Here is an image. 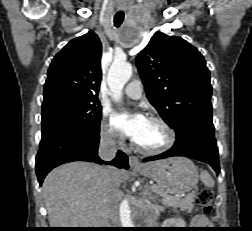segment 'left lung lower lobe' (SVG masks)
I'll list each match as a JSON object with an SVG mask.
<instances>
[{"instance_id": "obj_1", "label": "left lung lower lobe", "mask_w": 252, "mask_h": 231, "mask_svg": "<svg viewBox=\"0 0 252 231\" xmlns=\"http://www.w3.org/2000/svg\"><path fill=\"white\" fill-rule=\"evenodd\" d=\"M174 130L176 142L173 147L163 154L145 158L144 161L185 156L208 163L217 174L220 172L212 117L200 115L187 117Z\"/></svg>"}]
</instances>
